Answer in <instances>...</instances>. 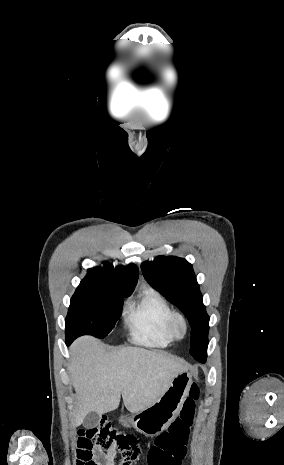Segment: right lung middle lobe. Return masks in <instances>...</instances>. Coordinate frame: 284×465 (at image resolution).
I'll list each match as a JSON object with an SVG mask.
<instances>
[{
  "label": "right lung middle lobe",
  "mask_w": 284,
  "mask_h": 465,
  "mask_svg": "<svg viewBox=\"0 0 284 465\" xmlns=\"http://www.w3.org/2000/svg\"><path fill=\"white\" fill-rule=\"evenodd\" d=\"M129 295L80 284L70 301L65 319L66 339L81 335L106 337L121 315L122 298Z\"/></svg>",
  "instance_id": "right-lung-middle-lobe-1"
}]
</instances>
